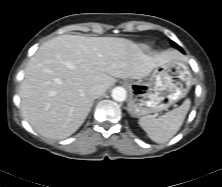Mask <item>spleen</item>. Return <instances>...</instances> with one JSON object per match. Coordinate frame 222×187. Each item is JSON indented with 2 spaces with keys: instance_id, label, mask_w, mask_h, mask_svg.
Returning <instances> with one entry per match:
<instances>
[{
  "instance_id": "obj_1",
  "label": "spleen",
  "mask_w": 222,
  "mask_h": 187,
  "mask_svg": "<svg viewBox=\"0 0 222 187\" xmlns=\"http://www.w3.org/2000/svg\"><path fill=\"white\" fill-rule=\"evenodd\" d=\"M190 104V99H186L181 106L158 118L150 115L143 116L139 119V125L152 141L159 144L166 143L182 126Z\"/></svg>"
}]
</instances>
